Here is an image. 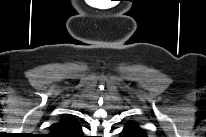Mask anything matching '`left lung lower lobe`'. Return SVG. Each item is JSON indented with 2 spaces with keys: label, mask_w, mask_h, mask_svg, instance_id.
Instances as JSON below:
<instances>
[{
  "label": "left lung lower lobe",
  "mask_w": 206,
  "mask_h": 137,
  "mask_svg": "<svg viewBox=\"0 0 206 137\" xmlns=\"http://www.w3.org/2000/svg\"><path fill=\"white\" fill-rule=\"evenodd\" d=\"M122 137H145V133H141L133 128H124L121 133Z\"/></svg>",
  "instance_id": "0a47b994"
}]
</instances>
